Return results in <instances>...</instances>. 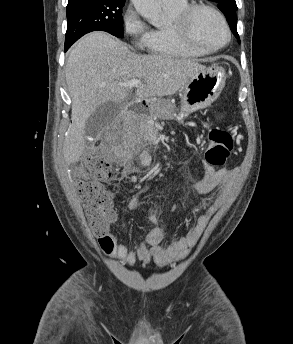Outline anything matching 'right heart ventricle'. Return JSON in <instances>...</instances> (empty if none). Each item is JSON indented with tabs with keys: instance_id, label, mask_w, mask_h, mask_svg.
Masks as SVG:
<instances>
[{
	"instance_id": "right-heart-ventricle-1",
	"label": "right heart ventricle",
	"mask_w": 293,
	"mask_h": 344,
	"mask_svg": "<svg viewBox=\"0 0 293 344\" xmlns=\"http://www.w3.org/2000/svg\"><path fill=\"white\" fill-rule=\"evenodd\" d=\"M190 4L188 0H177L171 4H164V9L169 17V24L165 27L150 30L145 49L152 55L167 58L193 59L202 56L185 46L174 34L172 20Z\"/></svg>"
}]
</instances>
